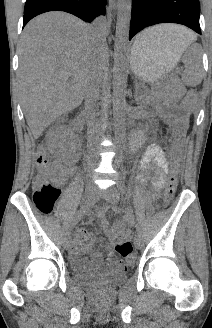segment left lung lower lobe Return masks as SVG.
<instances>
[{
	"instance_id": "1",
	"label": "left lung lower lobe",
	"mask_w": 212,
	"mask_h": 328,
	"mask_svg": "<svg viewBox=\"0 0 212 328\" xmlns=\"http://www.w3.org/2000/svg\"><path fill=\"white\" fill-rule=\"evenodd\" d=\"M199 0H132L129 40L159 23H178L201 34Z\"/></svg>"
}]
</instances>
